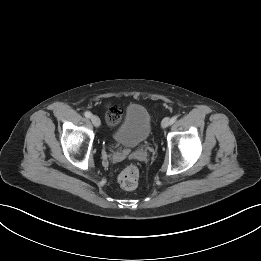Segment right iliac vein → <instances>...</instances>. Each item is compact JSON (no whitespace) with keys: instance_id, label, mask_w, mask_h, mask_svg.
<instances>
[{"instance_id":"obj_1","label":"right iliac vein","mask_w":261,"mask_h":261,"mask_svg":"<svg viewBox=\"0 0 261 261\" xmlns=\"http://www.w3.org/2000/svg\"><path fill=\"white\" fill-rule=\"evenodd\" d=\"M91 121L95 127H99L101 124L99 117L96 115L91 116Z\"/></svg>"}]
</instances>
